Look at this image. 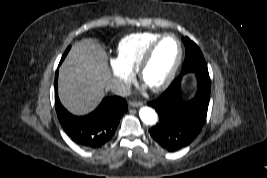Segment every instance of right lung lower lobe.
<instances>
[{"instance_id":"1","label":"right lung lower lobe","mask_w":267,"mask_h":178,"mask_svg":"<svg viewBox=\"0 0 267 178\" xmlns=\"http://www.w3.org/2000/svg\"><path fill=\"white\" fill-rule=\"evenodd\" d=\"M57 81L58 71L55 76V107L66 134L81 147L89 149L102 147L112 138L121 117L127 111L126 101L119 96L106 97L92 113L75 116L60 103Z\"/></svg>"}]
</instances>
